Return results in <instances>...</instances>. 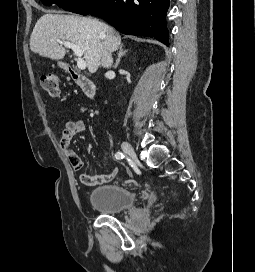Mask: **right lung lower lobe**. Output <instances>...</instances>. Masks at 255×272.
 Here are the masks:
<instances>
[{
	"label": "right lung lower lobe",
	"instance_id": "1",
	"mask_svg": "<svg viewBox=\"0 0 255 272\" xmlns=\"http://www.w3.org/2000/svg\"><path fill=\"white\" fill-rule=\"evenodd\" d=\"M169 0H101L89 13L128 35L151 36L168 43L165 13Z\"/></svg>",
	"mask_w": 255,
	"mask_h": 272
}]
</instances>
